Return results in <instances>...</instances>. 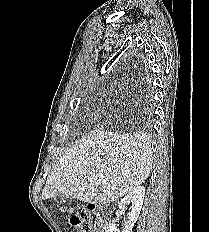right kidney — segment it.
<instances>
[{"mask_svg": "<svg viewBox=\"0 0 209 232\" xmlns=\"http://www.w3.org/2000/svg\"><path fill=\"white\" fill-rule=\"evenodd\" d=\"M145 196V188L143 186H137L133 188L119 203V209L121 211H125L128 204H131V208L129 210V225L126 226L122 232H132L133 226L136 223ZM107 232H120L117 229V225L115 223H110Z\"/></svg>", "mask_w": 209, "mask_h": 232, "instance_id": "right-kidney-1", "label": "right kidney"}]
</instances>
